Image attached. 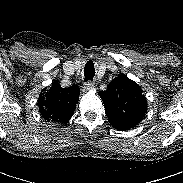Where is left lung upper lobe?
Wrapping results in <instances>:
<instances>
[{"label": "left lung upper lobe", "mask_w": 183, "mask_h": 183, "mask_svg": "<svg viewBox=\"0 0 183 183\" xmlns=\"http://www.w3.org/2000/svg\"><path fill=\"white\" fill-rule=\"evenodd\" d=\"M109 123L117 130L135 127L147 111L141 87L122 74L112 80L106 91L99 92Z\"/></svg>", "instance_id": "left-lung-upper-lobe-1"}]
</instances>
